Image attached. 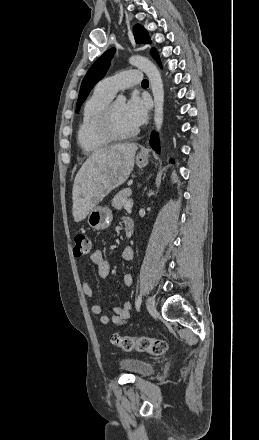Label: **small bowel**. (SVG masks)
<instances>
[{
	"label": "small bowel",
	"mask_w": 259,
	"mask_h": 440,
	"mask_svg": "<svg viewBox=\"0 0 259 440\" xmlns=\"http://www.w3.org/2000/svg\"><path fill=\"white\" fill-rule=\"evenodd\" d=\"M134 257V250L131 247H126L122 252V259L124 261H130ZM91 262L97 268V274L101 278H106L110 274V263L104 256L102 251L96 250L90 256ZM133 283V277L131 274H125L123 276V284L126 287H130ZM82 290L87 297H93L94 291L88 281L84 280L82 283ZM132 304L125 302L120 306L114 307V314L111 316L102 314V306L100 304H93L91 306L92 313L100 315V323L102 325H122L130 318V311Z\"/></svg>",
	"instance_id": "1"
}]
</instances>
